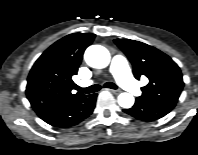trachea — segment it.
<instances>
[{"instance_id":"1","label":"trachea","mask_w":198,"mask_h":155,"mask_svg":"<svg viewBox=\"0 0 198 155\" xmlns=\"http://www.w3.org/2000/svg\"><path fill=\"white\" fill-rule=\"evenodd\" d=\"M104 87L105 88H110V89H117V86L114 83H112V82L105 83ZM100 88H101L100 85L95 84V85L89 86L87 88L77 87L76 89L78 91H80V92H83V93H86V94H90V93H95V92L99 91Z\"/></svg>"}]
</instances>
